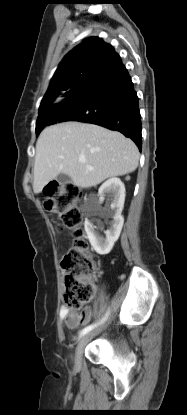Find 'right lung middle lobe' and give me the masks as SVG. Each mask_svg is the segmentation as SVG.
I'll return each mask as SVG.
<instances>
[{"label":"right lung middle lobe","mask_w":187,"mask_h":415,"mask_svg":"<svg viewBox=\"0 0 187 415\" xmlns=\"http://www.w3.org/2000/svg\"><path fill=\"white\" fill-rule=\"evenodd\" d=\"M80 84L75 85L73 88L69 89L67 92L63 93L62 96L52 105L39 109V116L36 121V135L38 136L44 127L50 124V117L55 111V109L64 101L65 98L74 93Z\"/></svg>","instance_id":"dd1d6c3e"}]
</instances>
